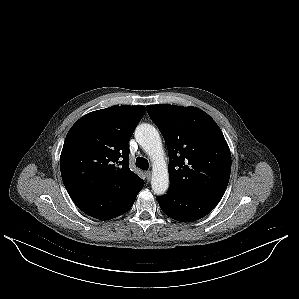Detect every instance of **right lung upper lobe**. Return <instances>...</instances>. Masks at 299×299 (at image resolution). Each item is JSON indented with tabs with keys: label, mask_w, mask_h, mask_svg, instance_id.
<instances>
[{
	"label": "right lung upper lobe",
	"mask_w": 299,
	"mask_h": 299,
	"mask_svg": "<svg viewBox=\"0 0 299 299\" xmlns=\"http://www.w3.org/2000/svg\"><path fill=\"white\" fill-rule=\"evenodd\" d=\"M144 106H112L81 117L69 130L60 157L61 176L71 197L118 187L123 201L135 197L144 181L128 166V142Z\"/></svg>",
	"instance_id": "1"
}]
</instances>
